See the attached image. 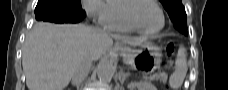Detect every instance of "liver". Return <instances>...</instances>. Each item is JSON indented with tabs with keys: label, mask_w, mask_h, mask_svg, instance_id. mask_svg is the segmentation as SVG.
Instances as JSON below:
<instances>
[{
	"label": "liver",
	"mask_w": 228,
	"mask_h": 90,
	"mask_svg": "<svg viewBox=\"0 0 228 90\" xmlns=\"http://www.w3.org/2000/svg\"><path fill=\"white\" fill-rule=\"evenodd\" d=\"M113 38L141 46L147 37L94 34L84 24L37 23L27 35L22 66L29 90H63L85 54L98 60L112 47Z\"/></svg>",
	"instance_id": "6515ba94"
}]
</instances>
